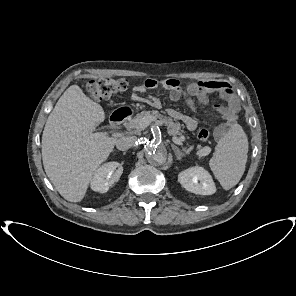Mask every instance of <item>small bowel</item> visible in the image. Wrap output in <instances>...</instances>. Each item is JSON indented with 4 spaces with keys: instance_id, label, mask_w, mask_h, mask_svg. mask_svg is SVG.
Returning a JSON list of instances; mask_svg holds the SVG:
<instances>
[{
    "instance_id": "1",
    "label": "small bowel",
    "mask_w": 296,
    "mask_h": 296,
    "mask_svg": "<svg viewBox=\"0 0 296 296\" xmlns=\"http://www.w3.org/2000/svg\"><path fill=\"white\" fill-rule=\"evenodd\" d=\"M157 87L168 91L169 97L173 101L185 97L187 104L193 109L197 108L195 99H197L200 104H203L207 101L208 94L213 92L218 93L223 101L222 104L215 107L216 114L222 119V123L216 129V136L218 138L224 137L236 123L239 103L233 88L227 82L202 80L190 81L186 85H181L178 80L172 78L162 81L147 79L142 84H138L133 88L130 98L133 101H146L153 107L158 108L160 106V101L157 98L149 97L146 99L142 96L146 91ZM168 114L172 118L182 121L185 127L190 131H194L198 126V122L195 118L177 110L169 109Z\"/></svg>"
}]
</instances>
